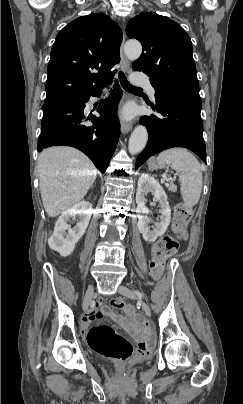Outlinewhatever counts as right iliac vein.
Returning <instances> with one entry per match:
<instances>
[{"instance_id":"1","label":"right iliac vein","mask_w":243,"mask_h":404,"mask_svg":"<svg viewBox=\"0 0 243 404\" xmlns=\"http://www.w3.org/2000/svg\"><path fill=\"white\" fill-rule=\"evenodd\" d=\"M93 292H94L93 286H90L86 291V294H85L84 299H83V304H82V307H83L84 311H86L88 309V307H89L90 301H91L92 296H93Z\"/></svg>"}]
</instances>
